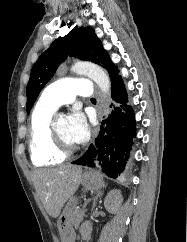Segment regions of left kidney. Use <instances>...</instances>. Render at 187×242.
Returning a JSON list of instances; mask_svg holds the SVG:
<instances>
[{
	"label": "left kidney",
	"instance_id": "5707ae66",
	"mask_svg": "<svg viewBox=\"0 0 187 242\" xmlns=\"http://www.w3.org/2000/svg\"><path fill=\"white\" fill-rule=\"evenodd\" d=\"M123 201L121 191L118 189L111 190L104 200V206L107 211L115 213L118 211Z\"/></svg>",
	"mask_w": 187,
	"mask_h": 242
}]
</instances>
